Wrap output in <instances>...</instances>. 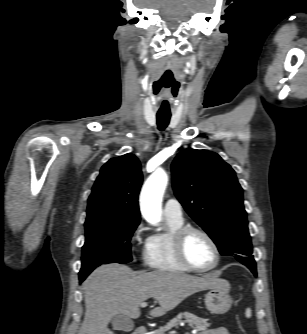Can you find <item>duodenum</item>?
Here are the masks:
<instances>
[{
    "mask_svg": "<svg viewBox=\"0 0 307 334\" xmlns=\"http://www.w3.org/2000/svg\"><path fill=\"white\" fill-rule=\"evenodd\" d=\"M133 334H148L144 326L138 327Z\"/></svg>",
    "mask_w": 307,
    "mask_h": 334,
    "instance_id": "duodenum-1",
    "label": "duodenum"
}]
</instances>
